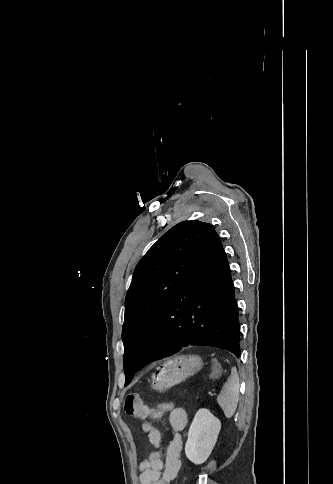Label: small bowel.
<instances>
[{"label":"small bowel","instance_id":"c3829d8e","mask_svg":"<svg viewBox=\"0 0 333 484\" xmlns=\"http://www.w3.org/2000/svg\"><path fill=\"white\" fill-rule=\"evenodd\" d=\"M125 412L136 419H162L166 418L172 429L168 438L165 457L163 459L160 445L161 433L150 423L144 422L142 429L147 433L149 442L154 449L142 463L140 482L141 484H171L181 468L180 454L182 450V431L188 423L187 413L183 408L177 407L159 418L152 416V408L146 405L137 394H130L124 402Z\"/></svg>","mask_w":333,"mask_h":484}]
</instances>
